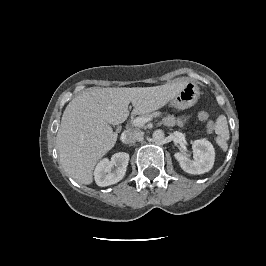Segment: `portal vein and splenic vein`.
I'll use <instances>...</instances> for the list:
<instances>
[{
    "label": "portal vein and splenic vein",
    "mask_w": 266,
    "mask_h": 266,
    "mask_svg": "<svg viewBox=\"0 0 266 266\" xmlns=\"http://www.w3.org/2000/svg\"><path fill=\"white\" fill-rule=\"evenodd\" d=\"M151 120H152L151 117H138V118H136V119L134 120V123H135V125H137V126H142V125H144L145 123H147V122H149V121H151Z\"/></svg>",
    "instance_id": "obj_1"
}]
</instances>
